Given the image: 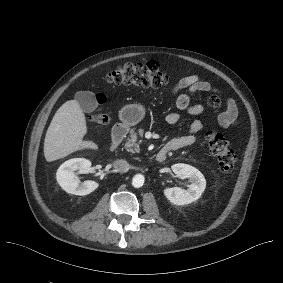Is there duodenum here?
Returning a JSON list of instances; mask_svg holds the SVG:
<instances>
[{
    "label": "duodenum",
    "mask_w": 283,
    "mask_h": 283,
    "mask_svg": "<svg viewBox=\"0 0 283 283\" xmlns=\"http://www.w3.org/2000/svg\"><path fill=\"white\" fill-rule=\"evenodd\" d=\"M128 132V128L124 123H118L114 126L111 135V150L114 151L123 141L126 134ZM169 149L167 147L161 148L156 154V160L158 162H163L166 160L167 153Z\"/></svg>",
    "instance_id": "obj_1"
}]
</instances>
